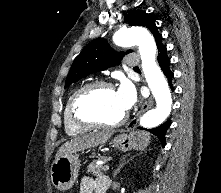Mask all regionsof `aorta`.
Here are the masks:
<instances>
[{
	"mask_svg": "<svg viewBox=\"0 0 221 193\" xmlns=\"http://www.w3.org/2000/svg\"><path fill=\"white\" fill-rule=\"evenodd\" d=\"M113 41L121 47L138 46L143 73L156 100V108L147 111L141 117L140 125L144 128L160 125L171 112L172 97L168 83L156 63L157 47L154 38L146 29L131 27L117 31Z\"/></svg>",
	"mask_w": 221,
	"mask_h": 193,
	"instance_id": "762f6f07",
	"label": "aorta"
}]
</instances>
